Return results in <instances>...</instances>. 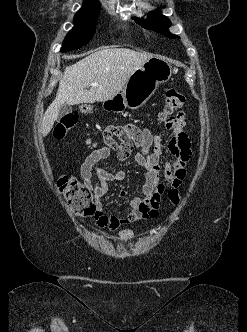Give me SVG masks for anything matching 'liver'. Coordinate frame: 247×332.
I'll return each mask as SVG.
<instances>
[{"instance_id": "liver-1", "label": "liver", "mask_w": 247, "mask_h": 332, "mask_svg": "<svg viewBox=\"0 0 247 332\" xmlns=\"http://www.w3.org/2000/svg\"><path fill=\"white\" fill-rule=\"evenodd\" d=\"M152 57L126 48H105L66 67L56 98L43 116L42 135L47 136L51 131L61 105L104 102L113 98L123 90L133 72ZM89 83H98V86L86 90Z\"/></svg>"}]
</instances>
